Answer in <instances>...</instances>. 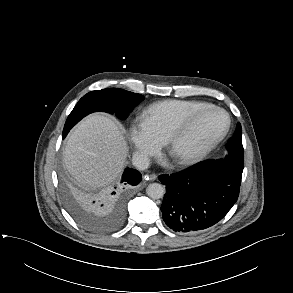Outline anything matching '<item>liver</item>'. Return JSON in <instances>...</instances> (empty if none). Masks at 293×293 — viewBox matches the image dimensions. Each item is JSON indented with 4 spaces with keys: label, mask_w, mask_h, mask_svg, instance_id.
Instances as JSON below:
<instances>
[{
    "label": "liver",
    "mask_w": 293,
    "mask_h": 293,
    "mask_svg": "<svg viewBox=\"0 0 293 293\" xmlns=\"http://www.w3.org/2000/svg\"><path fill=\"white\" fill-rule=\"evenodd\" d=\"M127 155L123 128L107 116L93 114L81 121L69 136L64 163L79 185L95 189L120 176Z\"/></svg>",
    "instance_id": "obj_1"
}]
</instances>
